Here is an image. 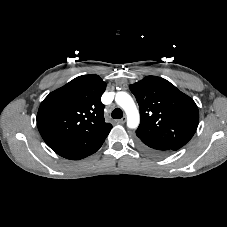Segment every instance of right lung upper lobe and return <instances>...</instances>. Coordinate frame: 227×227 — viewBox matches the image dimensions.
<instances>
[{"mask_svg": "<svg viewBox=\"0 0 227 227\" xmlns=\"http://www.w3.org/2000/svg\"><path fill=\"white\" fill-rule=\"evenodd\" d=\"M105 89L106 83L98 75H83L42 101L37 127L54 152L78 160L101 147L112 128L104 119L101 96Z\"/></svg>", "mask_w": 227, "mask_h": 227, "instance_id": "right-lung-upper-lobe-1", "label": "right lung upper lobe"}]
</instances>
